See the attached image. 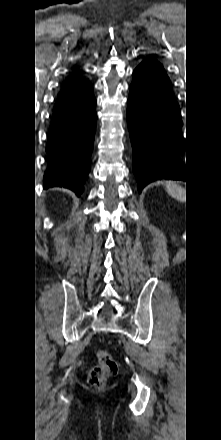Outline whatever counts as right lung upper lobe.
Segmentation results:
<instances>
[{
  "instance_id": "cb5924a9",
  "label": "right lung upper lobe",
  "mask_w": 221,
  "mask_h": 440,
  "mask_svg": "<svg viewBox=\"0 0 221 440\" xmlns=\"http://www.w3.org/2000/svg\"><path fill=\"white\" fill-rule=\"evenodd\" d=\"M80 79H82V78H80L78 75H76V76L72 77V78L68 81V83L75 82V81H78V80H80Z\"/></svg>"
}]
</instances>
